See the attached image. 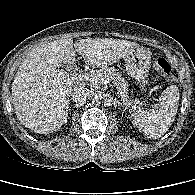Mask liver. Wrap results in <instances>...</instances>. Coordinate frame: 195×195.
<instances>
[{
    "label": "liver",
    "mask_w": 195,
    "mask_h": 195,
    "mask_svg": "<svg viewBox=\"0 0 195 195\" xmlns=\"http://www.w3.org/2000/svg\"><path fill=\"white\" fill-rule=\"evenodd\" d=\"M140 46L127 40L60 39L27 54L12 83V101L18 120L36 133L47 134L67 122L74 79L59 66L75 64V51L89 67H106Z\"/></svg>",
    "instance_id": "1"
}]
</instances>
